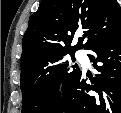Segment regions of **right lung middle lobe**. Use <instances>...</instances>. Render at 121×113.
Here are the masks:
<instances>
[{"mask_svg":"<svg viewBox=\"0 0 121 113\" xmlns=\"http://www.w3.org/2000/svg\"><path fill=\"white\" fill-rule=\"evenodd\" d=\"M67 54L75 60L74 52H59L41 56L21 68L23 113H50L55 107L61 98L59 85L63 95L69 80L80 71L76 64L64 61Z\"/></svg>","mask_w":121,"mask_h":113,"instance_id":"dd1d6c3e","label":"right lung middle lobe"}]
</instances>
